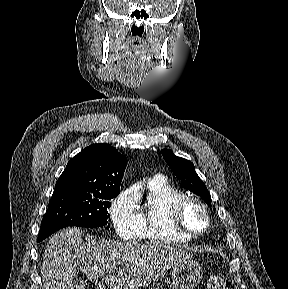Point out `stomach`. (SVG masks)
Wrapping results in <instances>:
<instances>
[{
  "label": "stomach",
  "instance_id": "obj_1",
  "mask_svg": "<svg viewBox=\"0 0 288 289\" xmlns=\"http://www.w3.org/2000/svg\"><path fill=\"white\" fill-rule=\"evenodd\" d=\"M203 270L200 264L188 260L176 265L172 271V285L174 289H194L201 281Z\"/></svg>",
  "mask_w": 288,
  "mask_h": 289
}]
</instances>
